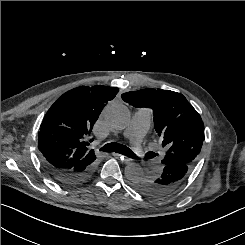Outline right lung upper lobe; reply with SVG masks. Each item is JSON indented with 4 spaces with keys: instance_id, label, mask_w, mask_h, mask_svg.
Instances as JSON below:
<instances>
[{
    "instance_id": "cb5924a9",
    "label": "right lung upper lobe",
    "mask_w": 245,
    "mask_h": 245,
    "mask_svg": "<svg viewBox=\"0 0 245 245\" xmlns=\"http://www.w3.org/2000/svg\"><path fill=\"white\" fill-rule=\"evenodd\" d=\"M118 91L115 87L80 86L59 97L45 114L38 133L43 162L75 171L93 164L96 156L87 147V139L103 107Z\"/></svg>"
}]
</instances>
